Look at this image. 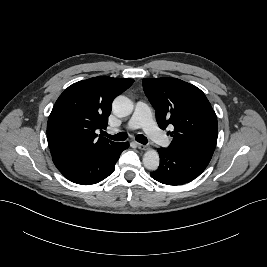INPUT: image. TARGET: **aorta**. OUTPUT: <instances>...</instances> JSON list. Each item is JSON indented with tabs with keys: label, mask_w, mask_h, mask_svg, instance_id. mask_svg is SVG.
Wrapping results in <instances>:
<instances>
[{
	"label": "aorta",
	"mask_w": 267,
	"mask_h": 267,
	"mask_svg": "<svg viewBox=\"0 0 267 267\" xmlns=\"http://www.w3.org/2000/svg\"><path fill=\"white\" fill-rule=\"evenodd\" d=\"M112 109L117 116L126 117L132 113L134 105L128 97L119 95L114 99ZM143 164L148 170H157L160 164L158 152L153 149L146 151L143 156Z\"/></svg>",
	"instance_id": "762f6f07"
}]
</instances>
